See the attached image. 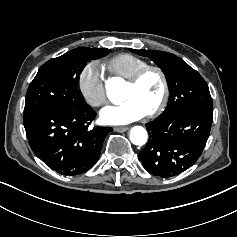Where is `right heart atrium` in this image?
I'll use <instances>...</instances> for the list:
<instances>
[{
	"instance_id": "right-heart-atrium-1",
	"label": "right heart atrium",
	"mask_w": 237,
	"mask_h": 237,
	"mask_svg": "<svg viewBox=\"0 0 237 237\" xmlns=\"http://www.w3.org/2000/svg\"><path fill=\"white\" fill-rule=\"evenodd\" d=\"M78 86L90 106L99 107L107 101L104 78L97 62H90L82 68L78 77Z\"/></svg>"
}]
</instances>
